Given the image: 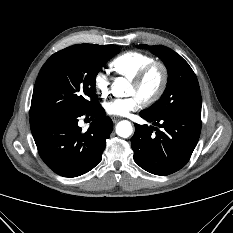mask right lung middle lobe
Masks as SVG:
<instances>
[{"instance_id": "1", "label": "right lung middle lobe", "mask_w": 233, "mask_h": 233, "mask_svg": "<svg viewBox=\"0 0 233 233\" xmlns=\"http://www.w3.org/2000/svg\"><path fill=\"white\" fill-rule=\"evenodd\" d=\"M119 52L117 45L79 44L53 54L37 77L30 117L92 109L98 103L96 75Z\"/></svg>"}]
</instances>
